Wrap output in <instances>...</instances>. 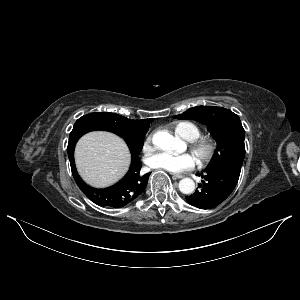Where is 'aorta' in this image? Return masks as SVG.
Masks as SVG:
<instances>
[{
    "instance_id": "aorta-1",
    "label": "aorta",
    "mask_w": 300,
    "mask_h": 300,
    "mask_svg": "<svg viewBox=\"0 0 300 300\" xmlns=\"http://www.w3.org/2000/svg\"><path fill=\"white\" fill-rule=\"evenodd\" d=\"M153 144L164 151L178 150L182 141L166 131H158L154 134L152 139ZM195 189V182L190 178H183L179 182V190L183 194H192Z\"/></svg>"
}]
</instances>
